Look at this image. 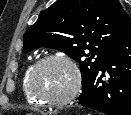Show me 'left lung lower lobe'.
<instances>
[{"label":"left lung lower lobe","instance_id":"obj_1","mask_svg":"<svg viewBox=\"0 0 131 115\" xmlns=\"http://www.w3.org/2000/svg\"><path fill=\"white\" fill-rule=\"evenodd\" d=\"M78 104L106 115H131V30L111 48Z\"/></svg>","mask_w":131,"mask_h":115}]
</instances>
